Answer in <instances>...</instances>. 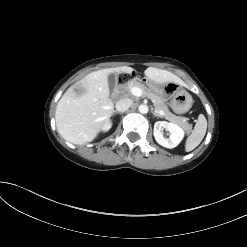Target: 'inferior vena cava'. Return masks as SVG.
Instances as JSON below:
<instances>
[{
    "instance_id": "obj_1",
    "label": "inferior vena cava",
    "mask_w": 247,
    "mask_h": 247,
    "mask_svg": "<svg viewBox=\"0 0 247 247\" xmlns=\"http://www.w3.org/2000/svg\"><path fill=\"white\" fill-rule=\"evenodd\" d=\"M132 100L129 98H123L116 102V110L118 112H125L132 105Z\"/></svg>"
}]
</instances>
